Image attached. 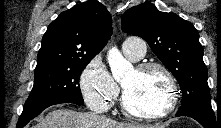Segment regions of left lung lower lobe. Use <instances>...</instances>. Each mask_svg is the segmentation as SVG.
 <instances>
[{
	"instance_id": "obj_1",
	"label": "left lung lower lobe",
	"mask_w": 221,
	"mask_h": 128,
	"mask_svg": "<svg viewBox=\"0 0 221 128\" xmlns=\"http://www.w3.org/2000/svg\"><path fill=\"white\" fill-rule=\"evenodd\" d=\"M176 116H188L198 121L204 128H221L220 119L214 114V111L194 109L183 113H177Z\"/></svg>"
}]
</instances>
